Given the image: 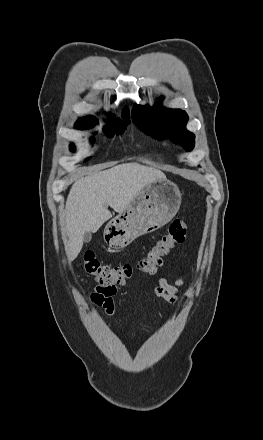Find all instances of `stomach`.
Segmentation results:
<instances>
[{
    "label": "stomach",
    "instance_id": "0dacf381",
    "mask_svg": "<svg viewBox=\"0 0 263 440\" xmlns=\"http://www.w3.org/2000/svg\"><path fill=\"white\" fill-rule=\"evenodd\" d=\"M182 194L168 179H158L143 187L126 209L105 228V239L115 249L124 248L137 237L154 232L178 212Z\"/></svg>",
    "mask_w": 263,
    "mask_h": 440
}]
</instances>
